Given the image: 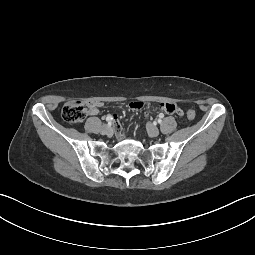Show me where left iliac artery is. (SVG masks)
<instances>
[{
	"label": "left iliac artery",
	"mask_w": 255,
	"mask_h": 255,
	"mask_svg": "<svg viewBox=\"0 0 255 255\" xmlns=\"http://www.w3.org/2000/svg\"><path fill=\"white\" fill-rule=\"evenodd\" d=\"M159 123L161 122V118L159 119V121H158Z\"/></svg>",
	"instance_id": "left-iliac-artery-1"
}]
</instances>
